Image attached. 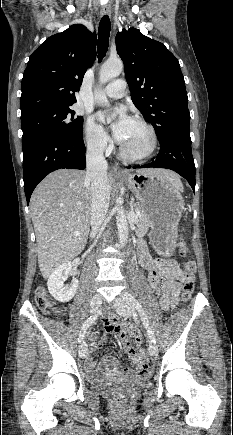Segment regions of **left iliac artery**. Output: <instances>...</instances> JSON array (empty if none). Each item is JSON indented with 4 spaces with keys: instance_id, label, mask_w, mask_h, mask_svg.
Returning a JSON list of instances; mask_svg holds the SVG:
<instances>
[{
    "instance_id": "obj_1",
    "label": "left iliac artery",
    "mask_w": 233,
    "mask_h": 435,
    "mask_svg": "<svg viewBox=\"0 0 233 435\" xmlns=\"http://www.w3.org/2000/svg\"><path fill=\"white\" fill-rule=\"evenodd\" d=\"M123 299L133 308H136L140 314L141 320L143 322L144 327L147 330V333L150 337V339L152 340V342L156 343V338L155 335L153 333V331L150 328L149 322L147 320L145 311L143 309V307L141 306V304L129 293H124L123 294Z\"/></svg>"
}]
</instances>
